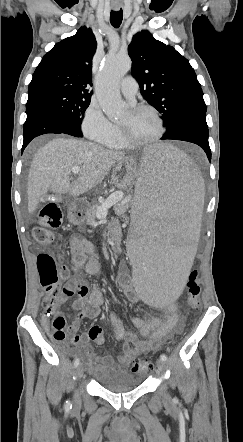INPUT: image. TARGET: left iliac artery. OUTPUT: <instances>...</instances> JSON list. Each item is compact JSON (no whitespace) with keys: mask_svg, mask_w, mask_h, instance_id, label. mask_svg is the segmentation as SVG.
I'll return each mask as SVG.
<instances>
[{"mask_svg":"<svg viewBox=\"0 0 243 442\" xmlns=\"http://www.w3.org/2000/svg\"><path fill=\"white\" fill-rule=\"evenodd\" d=\"M161 360H163L164 362L167 361V356L165 354H161L160 355Z\"/></svg>","mask_w":243,"mask_h":442,"instance_id":"1","label":"left iliac artery"}]
</instances>
